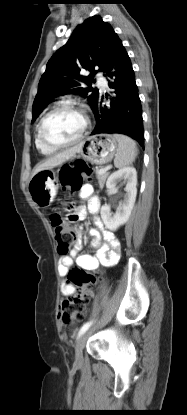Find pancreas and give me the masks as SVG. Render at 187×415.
Instances as JSON below:
<instances>
[{
	"mask_svg": "<svg viewBox=\"0 0 187 415\" xmlns=\"http://www.w3.org/2000/svg\"><path fill=\"white\" fill-rule=\"evenodd\" d=\"M108 173L99 174V170H96V176L98 179L99 187L102 189L104 187L105 181L108 177Z\"/></svg>",
	"mask_w": 187,
	"mask_h": 415,
	"instance_id": "cf45deb5",
	"label": "pancreas"
}]
</instances>
